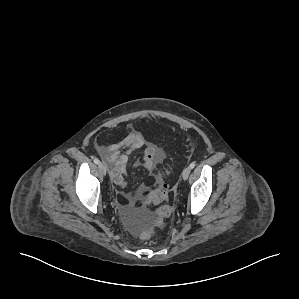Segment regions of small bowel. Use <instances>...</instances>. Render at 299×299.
Returning <instances> with one entry per match:
<instances>
[{
	"label": "small bowel",
	"instance_id": "small-bowel-1",
	"mask_svg": "<svg viewBox=\"0 0 299 299\" xmlns=\"http://www.w3.org/2000/svg\"><path fill=\"white\" fill-rule=\"evenodd\" d=\"M140 148L144 149L143 158L136 160L133 166H143L154 173L157 164L164 160V153L158 145L148 140L141 131L133 130L118 143L98 147L102 159L110 166L112 181L120 188V193L125 199V203L120 204V210L128 219H131L138 212L137 200L146 202L149 195V188L146 185H141L135 193L127 191L124 180L129 155Z\"/></svg>",
	"mask_w": 299,
	"mask_h": 299
}]
</instances>
